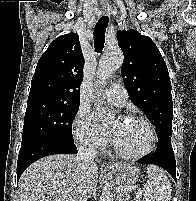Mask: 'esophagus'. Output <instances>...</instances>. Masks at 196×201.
Masks as SVG:
<instances>
[{
    "label": "esophagus",
    "mask_w": 196,
    "mask_h": 201,
    "mask_svg": "<svg viewBox=\"0 0 196 201\" xmlns=\"http://www.w3.org/2000/svg\"><path fill=\"white\" fill-rule=\"evenodd\" d=\"M102 11H103L104 14L110 13V9H106V8H105V9H103ZM108 164L110 165L111 162H108Z\"/></svg>",
    "instance_id": "obj_1"
}]
</instances>
